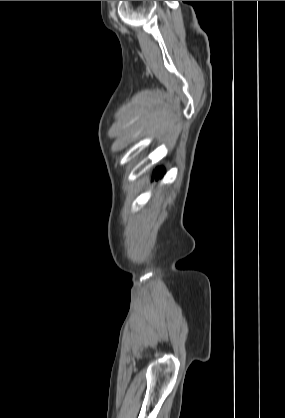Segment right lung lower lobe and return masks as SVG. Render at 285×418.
Segmentation results:
<instances>
[{"instance_id":"1","label":"right lung lower lobe","mask_w":285,"mask_h":418,"mask_svg":"<svg viewBox=\"0 0 285 418\" xmlns=\"http://www.w3.org/2000/svg\"><path fill=\"white\" fill-rule=\"evenodd\" d=\"M163 174H164V169L162 168H158V169H156L155 170V172H154V177L156 178V179H158L159 177H162L163 176Z\"/></svg>"}]
</instances>
